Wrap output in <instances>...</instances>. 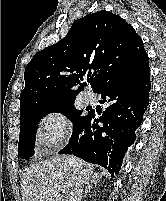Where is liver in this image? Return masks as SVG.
<instances>
[{"label":"liver","instance_id":"obj_1","mask_svg":"<svg viewBox=\"0 0 166 201\" xmlns=\"http://www.w3.org/2000/svg\"><path fill=\"white\" fill-rule=\"evenodd\" d=\"M70 158L75 165L70 164ZM75 168L83 184H90L95 175L93 165L73 156L56 155L32 164L21 178L22 201H75Z\"/></svg>","mask_w":166,"mask_h":201}]
</instances>
